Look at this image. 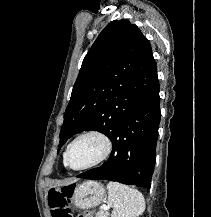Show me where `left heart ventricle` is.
<instances>
[{"mask_svg":"<svg viewBox=\"0 0 211 217\" xmlns=\"http://www.w3.org/2000/svg\"><path fill=\"white\" fill-rule=\"evenodd\" d=\"M104 151L103 141L96 136H86L72 146L69 162L75 168L83 167L97 160Z\"/></svg>","mask_w":211,"mask_h":217,"instance_id":"b2bd125f","label":"left heart ventricle"}]
</instances>
